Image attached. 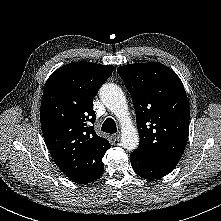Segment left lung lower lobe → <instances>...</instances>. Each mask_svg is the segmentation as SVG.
Masks as SVG:
<instances>
[{
    "instance_id": "obj_1",
    "label": "left lung lower lobe",
    "mask_w": 221,
    "mask_h": 221,
    "mask_svg": "<svg viewBox=\"0 0 221 221\" xmlns=\"http://www.w3.org/2000/svg\"><path fill=\"white\" fill-rule=\"evenodd\" d=\"M133 170L146 179H157L170 173L176 165L157 163L146 160L133 153L130 154Z\"/></svg>"
}]
</instances>
